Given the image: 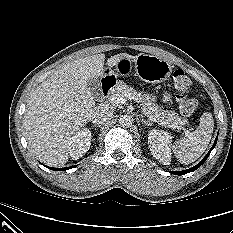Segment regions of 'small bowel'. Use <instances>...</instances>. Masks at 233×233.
<instances>
[{"mask_svg":"<svg viewBox=\"0 0 233 233\" xmlns=\"http://www.w3.org/2000/svg\"><path fill=\"white\" fill-rule=\"evenodd\" d=\"M168 98H169V96H168V95H166V96H165V99L167 100Z\"/></svg>","mask_w":233,"mask_h":233,"instance_id":"c3829d8e","label":"small bowel"}]
</instances>
